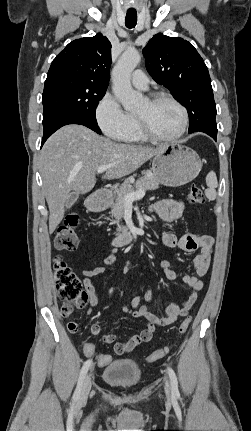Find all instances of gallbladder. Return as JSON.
Returning <instances> with one entry per match:
<instances>
[{"instance_id": "bac80fb5", "label": "gallbladder", "mask_w": 251, "mask_h": 431, "mask_svg": "<svg viewBox=\"0 0 251 431\" xmlns=\"http://www.w3.org/2000/svg\"><path fill=\"white\" fill-rule=\"evenodd\" d=\"M79 195L77 193H72L66 201L65 207L66 209L71 208L74 203L77 201Z\"/></svg>"}]
</instances>
